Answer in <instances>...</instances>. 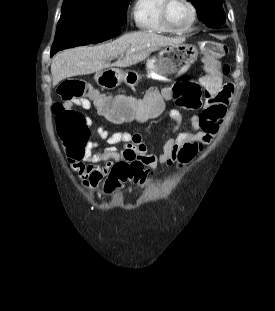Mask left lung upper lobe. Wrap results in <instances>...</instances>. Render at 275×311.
Masks as SVG:
<instances>
[{"instance_id":"1","label":"left lung upper lobe","mask_w":275,"mask_h":311,"mask_svg":"<svg viewBox=\"0 0 275 311\" xmlns=\"http://www.w3.org/2000/svg\"><path fill=\"white\" fill-rule=\"evenodd\" d=\"M198 11L200 20L210 28L224 24L226 16L222 8V0H188Z\"/></svg>"}]
</instances>
